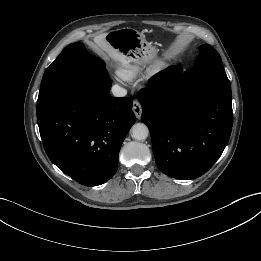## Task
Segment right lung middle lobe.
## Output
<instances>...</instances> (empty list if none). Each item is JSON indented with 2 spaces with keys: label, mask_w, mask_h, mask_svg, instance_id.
Instances as JSON below:
<instances>
[{
  "label": "right lung middle lobe",
  "mask_w": 261,
  "mask_h": 261,
  "mask_svg": "<svg viewBox=\"0 0 261 261\" xmlns=\"http://www.w3.org/2000/svg\"><path fill=\"white\" fill-rule=\"evenodd\" d=\"M107 77L105 63L99 58L90 56L83 43L70 44L45 71L37 100V110L72 85Z\"/></svg>",
  "instance_id": "1"
}]
</instances>
